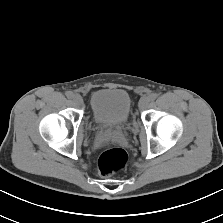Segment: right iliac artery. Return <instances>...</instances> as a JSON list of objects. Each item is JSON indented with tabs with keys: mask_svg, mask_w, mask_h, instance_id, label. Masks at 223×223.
<instances>
[{
	"mask_svg": "<svg viewBox=\"0 0 223 223\" xmlns=\"http://www.w3.org/2000/svg\"><path fill=\"white\" fill-rule=\"evenodd\" d=\"M73 92H71V91H67L66 92V96H67V98H72L73 97Z\"/></svg>",
	"mask_w": 223,
	"mask_h": 223,
	"instance_id": "1",
	"label": "right iliac artery"
}]
</instances>
